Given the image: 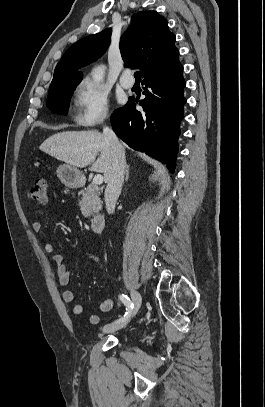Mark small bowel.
<instances>
[{"mask_svg": "<svg viewBox=\"0 0 265 407\" xmlns=\"http://www.w3.org/2000/svg\"><path fill=\"white\" fill-rule=\"evenodd\" d=\"M42 223L40 221H34L32 223V229L34 232L39 233L42 230ZM43 249L46 253L51 255L53 262L56 265V271L58 275L59 283L62 286H68L70 284V272L67 266L64 264L63 257L54 251V246L50 242H45L43 244ZM90 258H92L95 262L100 265V260L96 255L88 254ZM101 266V265H100ZM76 299V293L73 289H66L63 292V300L66 303H74ZM113 307V301L111 298L104 299L100 305L99 309L101 312H109ZM72 312L75 315H80L83 312V305L79 303H75L72 306ZM88 322L91 325H96L99 323V316L97 314H90L88 316Z\"/></svg>", "mask_w": 265, "mask_h": 407, "instance_id": "c3829d8e", "label": "small bowel"}]
</instances>
